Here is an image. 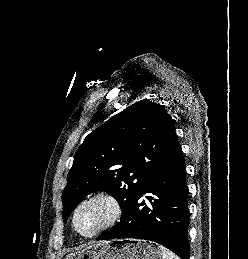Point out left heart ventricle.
Masks as SVG:
<instances>
[{
    "mask_svg": "<svg viewBox=\"0 0 248 259\" xmlns=\"http://www.w3.org/2000/svg\"><path fill=\"white\" fill-rule=\"evenodd\" d=\"M110 205L102 200L86 204L79 211L76 224L78 230L84 234L91 233L101 227L110 218Z\"/></svg>",
    "mask_w": 248,
    "mask_h": 259,
    "instance_id": "left-heart-ventricle-1",
    "label": "left heart ventricle"
}]
</instances>
